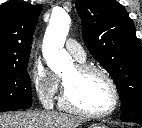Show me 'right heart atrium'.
<instances>
[{"label":"right heart atrium","mask_w":142,"mask_h":128,"mask_svg":"<svg viewBox=\"0 0 142 128\" xmlns=\"http://www.w3.org/2000/svg\"><path fill=\"white\" fill-rule=\"evenodd\" d=\"M31 78L39 100L46 104L52 103L59 91V79L38 60L33 63Z\"/></svg>","instance_id":"1"}]
</instances>
